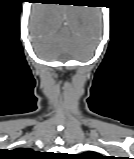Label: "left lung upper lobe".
I'll use <instances>...</instances> for the list:
<instances>
[{"instance_id": "1", "label": "left lung upper lobe", "mask_w": 134, "mask_h": 159, "mask_svg": "<svg viewBox=\"0 0 134 159\" xmlns=\"http://www.w3.org/2000/svg\"><path fill=\"white\" fill-rule=\"evenodd\" d=\"M76 158L77 159H104L103 156L95 152H85V153L77 155Z\"/></svg>"}]
</instances>
